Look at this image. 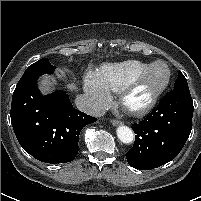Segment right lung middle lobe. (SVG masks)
<instances>
[{
    "label": "right lung middle lobe",
    "mask_w": 201,
    "mask_h": 201,
    "mask_svg": "<svg viewBox=\"0 0 201 201\" xmlns=\"http://www.w3.org/2000/svg\"><path fill=\"white\" fill-rule=\"evenodd\" d=\"M39 65H50L49 60L47 58L40 59L39 61L35 62L31 66H39Z\"/></svg>",
    "instance_id": "dd1d6c3e"
}]
</instances>
